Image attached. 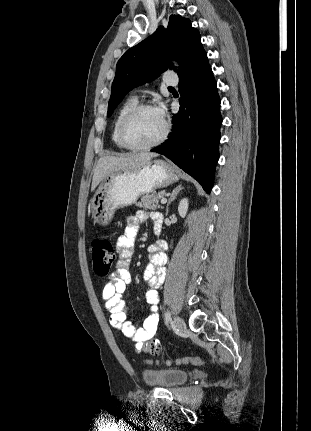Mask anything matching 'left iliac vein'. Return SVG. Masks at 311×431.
I'll use <instances>...</instances> for the list:
<instances>
[{"instance_id": "4c4485c4", "label": "left iliac vein", "mask_w": 311, "mask_h": 431, "mask_svg": "<svg viewBox=\"0 0 311 431\" xmlns=\"http://www.w3.org/2000/svg\"><path fill=\"white\" fill-rule=\"evenodd\" d=\"M174 325H175V328L177 329V331L180 333L184 332L186 330V324H185L184 320L179 316H176L174 318Z\"/></svg>"}]
</instances>
